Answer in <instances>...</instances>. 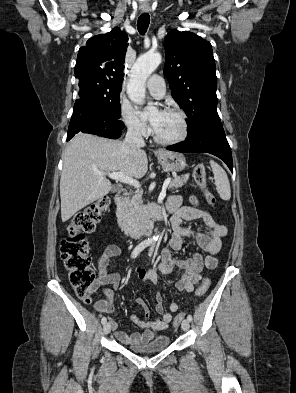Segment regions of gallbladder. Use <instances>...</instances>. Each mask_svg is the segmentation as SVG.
I'll return each mask as SVG.
<instances>
[{"mask_svg":"<svg viewBox=\"0 0 296 393\" xmlns=\"http://www.w3.org/2000/svg\"><path fill=\"white\" fill-rule=\"evenodd\" d=\"M117 189H118V188H117L116 186H113V187H112V192H116Z\"/></svg>","mask_w":296,"mask_h":393,"instance_id":"obj_1","label":"gallbladder"}]
</instances>
